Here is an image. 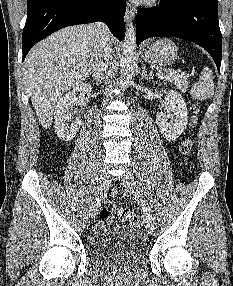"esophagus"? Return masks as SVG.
Wrapping results in <instances>:
<instances>
[{
  "label": "esophagus",
  "instance_id": "esophagus-1",
  "mask_svg": "<svg viewBox=\"0 0 233 286\" xmlns=\"http://www.w3.org/2000/svg\"><path fill=\"white\" fill-rule=\"evenodd\" d=\"M135 13H136V8L129 2H127L126 15H125L127 24H130L132 22V20L135 17Z\"/></svg>",
  "mask_w": 233,
  "mask_h": 286
}]
</instances>
